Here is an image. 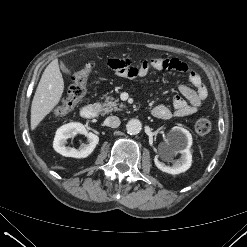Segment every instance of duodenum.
Masks as SVG:
<instances>
[{"label":"duodenum","instance_id":"obj_1","mask_svg":"<svg viewBox=\"0 0 247 247\" xmlns=\"http://www.w3.org/2000/svg\"><path fill=\"white\" fill-rule=\"evenodd\" d=\"M80 114L84 119L96 118L98 115V107L95 104L85 105L81 109Z\"/></svg>","mask_w":247,"mask_h":247}]
</instances>
